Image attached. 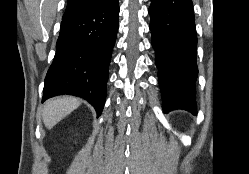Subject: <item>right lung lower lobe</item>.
Here are the masks:
<instances>
[{
  "label": "right lung lower lobe",
  "instance_id": "98d812e1",
  "mask_svg": "<svg viewBox=\"0 0 249 174\" xmlns=\"http://www.w3.org/2000/svg\"><path fill=\"white\" fill-rule=\"evenodd\" d=\"M118 0H106L64 14L56 54L42 102L56 95L80 96L102 113L111 53L118 31Z\"/></svg>",
  "mask_w": 249,
  "mask_h": 174
}]
</instances>
